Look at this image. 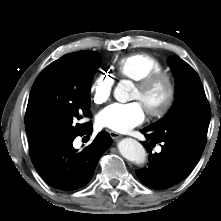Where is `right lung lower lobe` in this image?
<instances>
[{"label": "right lung lower lobe", "mask_w": 221, "mask_h": 221, "mask_svg": "<svg viewBox=\"0 0 221 221\" xmlns=\"http://www.w3.org/2000/svg\"><path fill=\"white\" fill-rule=\"evenodd\" d=\"M91 133L92 123L89 122L79 136ZM73 140L42 143L29 148L35 169L45 182L56 189L71 191L86 185L100 157L112 143L110 135L102 131L91 145L78 152L73 148Z\"/></svg>", "instance_id": "1"}]
</instances>
